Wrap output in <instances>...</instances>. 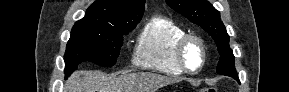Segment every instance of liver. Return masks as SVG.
<instances>
[{
  "label": "liver",
  "instance_id": "1",
  "mask_svg": "<svg viewBox=\"0 0 289 92\" xmlns=\"http://www.w3.org/2000/svg\"><path fill=\"white\" fill-rule=\"evenodd\" d=\"M155 73H125L118 77L102 72H75L66 82V92H156L178 82Z\"/></svg>",
  "mask_w": 289,
  "mask_h": 92
}]
</instances>
